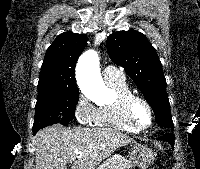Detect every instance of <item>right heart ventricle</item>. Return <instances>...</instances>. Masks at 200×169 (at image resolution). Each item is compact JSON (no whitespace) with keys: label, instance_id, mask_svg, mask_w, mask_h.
Segmentation results:
<instances>
[{"label":"right heart ventricle","instance_id":"obj_1","mask_svg":"<svg viewBox=\"0 0 200 169\" xmlns=\"http://www.w3.org/2000/svg\"><path fill=\"white\" fill-rule=\"evenodd\" d=\"M106 83L114 90L116 98L112 103L103 105L97 109L94 124L99 127L138 133V131L129 126L123 115V99L126 96L133 94L131 88L126 83V80L123 79Z\"/></svg>","mask_w":200,"mask_h":169}]
</instances>
